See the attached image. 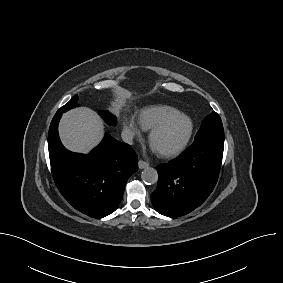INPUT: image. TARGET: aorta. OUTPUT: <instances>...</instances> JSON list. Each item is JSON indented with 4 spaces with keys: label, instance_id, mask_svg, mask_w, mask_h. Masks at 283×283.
<instances>
[{
    "label": "aorta",
    "instance_id": "aorta-1",
    "mask_svg": "<svg viewBox=\"0 0 283 283\" xmlns=\"http://www.w3.org/2000/svg\"><path fill=\"white\" fill-rule=\"evenodd\" d=\"M141 179L147 184H155L158 180V173L154 168L147 167L143 169Z\"/></svg>",
    "mask_w": 283,
    "mask_h": 283
}]
</instances>
